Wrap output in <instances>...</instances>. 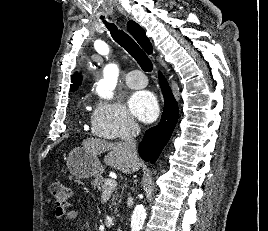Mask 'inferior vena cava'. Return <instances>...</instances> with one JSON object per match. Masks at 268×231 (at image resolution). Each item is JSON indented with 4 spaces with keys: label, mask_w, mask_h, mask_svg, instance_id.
Masks as SVG:
<instances>
[{
    "label": "inferior vena cava",
    "mask_w": 268,
    "mask_h": 231,
    "mask_svg": "<svg viewBox=\"0 0 268 231\" xmlns=\"http://www.w3.org/2000/svg\"><path fill=\"white\" fill-rule=\"evenodd\" d=\"M140 133V127L137 123L133 122L129 129L127 136L123 142L124 147L128 153V156L131 161H138L137 150H136V141L135 137Z\"/></svg>",
    "instance_id": "602c4592"
}]
</instances>
